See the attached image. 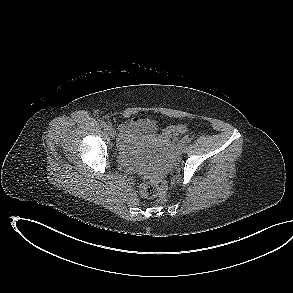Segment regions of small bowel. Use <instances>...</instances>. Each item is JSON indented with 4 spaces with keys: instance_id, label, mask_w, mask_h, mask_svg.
<instances>
[{
    "instance_id": "small-bowel-1",
    "label": "small bowel",
    "mask_w": 293,
    "mask_h": 293,
    "mask_svg": "<svg viewBox=\"0 0 293 293\" xmlns=\"http://www.w3.org/2000/svg\"><path fill=\"white\" fill-rule=\"evenodd\" d=\"M141 120H143V118L139 117V118H135L132 122L135 123V122H138V121H141ZM119 128H120V131L122 133H126L128 131V129H129V125L126 124V123H120Z\"/></svg>"
}]
</instances>
